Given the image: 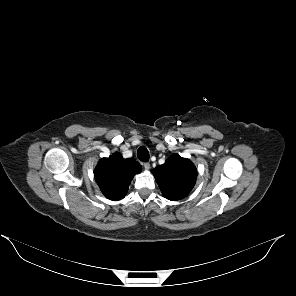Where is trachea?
<instances>
[{
    "instance_id": "trachea-1",
    "label": "trachea",
    "mask_w": 296,
    "mask_h": 296,
    "mask_svg": "<svg viewBox=\"0 0 296 296\" xmlns=\"http://www.w3.org/2000/svg\"><path fill=\"white\" fill-rule=\"evenodd\" d=\"M137 157L142 162H148L149 161V152L146 147L141 146L137 151Z\"/></svg>"
}]
</instances>
